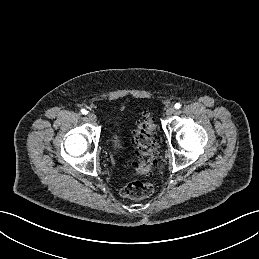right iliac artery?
<instances>
[{"label":"right iliac artery","instance_id":"right-iliac-artery-1","mask_svg":"<svg viewBox=\"0 0 259 259\" xmlns=\"http://www.w3.org/2000/svg\"><path fill=\"white\" fill-rule=\"evenodd\" d=\"M81 113L84 114V115H86V114L88 113V111L85 110V109H82V110H81Z\"/></svg>","mask_w":259,"mask_h":259}]
</instances>
